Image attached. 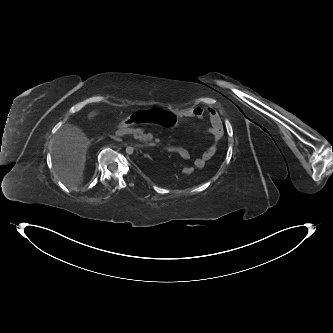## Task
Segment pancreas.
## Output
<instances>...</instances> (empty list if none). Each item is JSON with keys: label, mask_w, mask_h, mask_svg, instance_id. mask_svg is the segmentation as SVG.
Returning <instances> with one entry per match:
<instances>
[{"label": "pancreas", "mask_w": 333, "mask_h": 333, "mask_svg": "<svg viewBox=\"0 0 333 333\" xmlns=\"http://www.w3.org/2000/svg\"><path fill=\"white\" fill-rule=\"evenodd\" d=\"M124 132L133 134L134 138L139 141H143V142L148 141V138H147L148 136L143 133L142 129H125Z\"/></svg>", "instance_id": "cf45deb5"}]
</instances>
